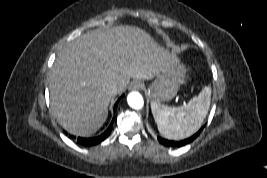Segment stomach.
I'll return each instance as SVG.
<instances>
[{"label": "stomach", "instance_id": "0dacf381", "mask_svg": "<svg viewBox=\"0 0 267 178\" xmlns=\"http://www.w3.org/2000/svg\"><path fill=\"white\" fill-rule=\"evenodd\" d=\"M186 67L175 57L165 67L155 80L147 87V94L152 102L169 101L173 99L183 83Z\"/></svg>", "mask_w": 267, "mask_h": 178}]
</instances>
